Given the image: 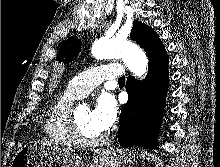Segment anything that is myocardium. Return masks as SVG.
Wrapping results in <instances>:
<instances>
[{"label":"myocardium","mask_w":220,"mask_h":167,"mask_svg":"<svg viewBox=\"0 0 220 167\" xmlns=\"http://www.w3.org/2000/svg\"><path fill=\"white\" fill-rule=\"evenodd\" d=\"M76 106L71 107L68 114V131L72 142L81 147H95L106 142L107 134H103L96 139H85L79 129L77 116H76Z\"/></svg>","instance_id":"f54148a6"}]
</instances>
